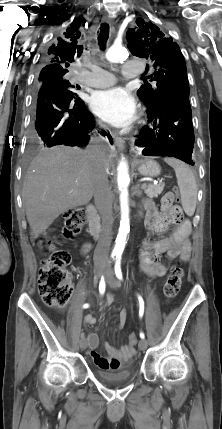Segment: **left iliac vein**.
<instances>
[{
	"mask_svg": "<svg viewBox=\"0 0 222 429\" xmlns=\"http://www.w3.org/2000/svg\"><path fill=\"white\" fill-rule=\"evenodd\" d=\"M106 281H107L108 285L114 289L119 287V283L115 279L113 270L110 266H108L107 270H106ZM147 345L148 344H147V341L145 339H141L138 343V347L140 350H145L147 348Z\"/></svg>",
	"mask_w": 222,
	"mask_h": 429,
	"instance_id": "4c4485c4",
	"label": "left iliac vein"
}]
</instances>
